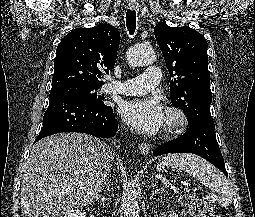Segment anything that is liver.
Instances as JSON below:
<instances>
[{
  "instance_id": "1",
  "label": "liver",
  "mask_w": 255,
  "mask_h": 217,
  "mask_svg": "<svg viewBox=\"0 0 255 217\" xmlns=\"http://www.w3.org/2000/svg\"><path fill=\"white\" fill-rule=\"evenodd\" d=\"M114 154L83 133H61L37 142L21 183L22 217H58L97 199Z\"/></svg>"
}]
</instances>
